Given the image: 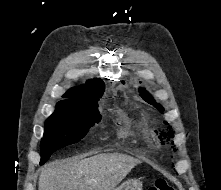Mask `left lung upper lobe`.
Listing matches in <instances>:
<instances>
[{
	"label": "left lung upper lobe",
	"instance_id": "5c2ea615",
	"mask_svg": "<svg viewBox=\"0 0 221 190\" xmlns=\"http://www.w3.org/2000/svg\"><path fill=\"white\" fill-rule=\"evenodd\" d=\"M140 92L143 100H145L149 104L154 105L161 113H163L164 108L160 104L156 103L147 91H145L144 89H140Z\"/></svg>",
	"mask_w": 221,
	"mask_h": 190
}]
</instances>
